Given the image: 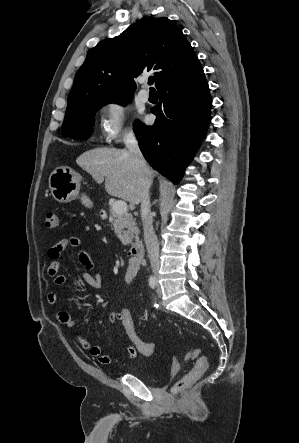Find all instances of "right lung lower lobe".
I'll use <instances>...</instances> for the list:
<instances>
[{"mask_svg":"<svg viewBox=\"0 0 299 443\" xmlns=\"http://www.w3.org/2000/svg\"><path fill=\"white\" fill-rule=\"evenodd\" d=\"M157 89L159 104L151 109L155 123L137 120L134 132L145 159L176 184L205 134L212 100L202 67Z\"/></svg>","mask_w":299,"mask_h":443,"instance_id":"1","label":"right lung lower lobe"}]
</instances>
